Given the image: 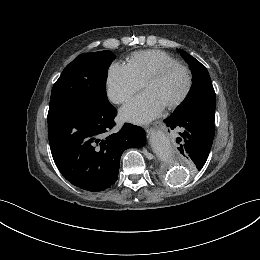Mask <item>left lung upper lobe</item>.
<instances>
[{"instance_id":"obj_1","label":"left lung upper lobe","mask_w":260,"mask_h":260,"mask_svg":"<svg viewBox=\"0 0 260 260\" xmlns=\"http://www.w3.org/2000/svg\"><path fill=\"white\" fill-rule=\"evenodd\" d=\"M192 71V87L183 103L177 107L174 114L201 112L215 115V91L204 65L181 49H177Z\"/></svg>"}]
</instances>
